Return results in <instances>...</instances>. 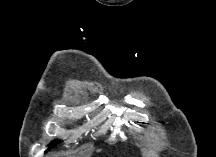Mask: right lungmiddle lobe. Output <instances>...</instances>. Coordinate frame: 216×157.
<instances>
[{
    "label": "right lung middle lobe",
    "mask_w": 216,
    "mask_h": 157,
    "mask_svg": "<svg viewBox=\"0 0 216 157\" xmlns=\"http://www.w3.org/2000/svg\"><path fill=\"white\" fill-rule=\"evenodd\" d=\"M55 144V142H52L50 145H54Z\"/></svg>",
    "instance_id": "dd1d6c3e"
}]
</instances>
